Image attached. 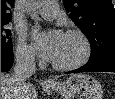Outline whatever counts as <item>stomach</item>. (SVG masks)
<instances>
[{
	"label": "stomach",
	"instance_id": "stomach-1",
	"mask_svg": "<svg viewBox=\"0 0 115 99\" xmlns=\"http://www.w3.org/2000/svg\"><path fill=\"white\" fill-rule=\"evenodd\" d=\"M50 88L65 99H102L103 88L99 81L87 74H75Z\"/></svg>",
	"mask_w": 115,
	"mask_h": 99
}]
</instances>
